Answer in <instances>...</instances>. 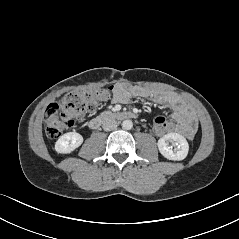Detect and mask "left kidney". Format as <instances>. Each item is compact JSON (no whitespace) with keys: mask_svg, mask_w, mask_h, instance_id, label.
<instances>
[{"mask_svg":"<svg viewBox=\"0 0 239 239\" xmlns=\"http://www.w3.org/2000/svg\"><path fill=\"white\" fill-rule=\"evenodd\" d=\"M174 146V149L169 144ZM160 153L169 160L180 161L186 158L189 145L187 140L178 133H168L158 140Z\"/></svg>","mask_w":239,"mask_h":239,"instance_id":"5707ae66","label":"left kidney"}]
</instances>
